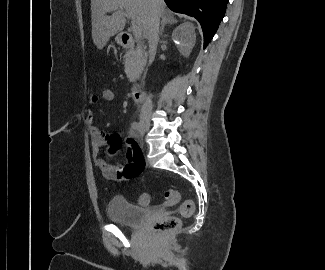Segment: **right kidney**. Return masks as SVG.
<instances>
[{
  "instance_id": "right-kidney-1",
  "label": "right kidney",
  "mask_w": 325,
  "mask_h": 270,
  "mask_svg": "<svg viewBox=\"0 0 325 270\" xmlns=\"http://www.w3.org/2000/svg\"><path fill=\"white\" fill-rule=\"evenodd\" d=\"M178 51L183 56H188L196 42L195 28L191 23H183L172 33Z\"/></svg>"
}]
</instances>
